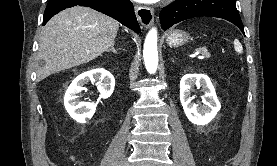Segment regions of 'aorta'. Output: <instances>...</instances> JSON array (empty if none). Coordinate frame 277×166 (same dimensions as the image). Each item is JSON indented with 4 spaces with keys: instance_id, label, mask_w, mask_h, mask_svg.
I'll list each match as a JSON object with an SVG mask.
<instances>
[{
    "instance_id": "obj_1",
    "label": "aorta",
    "mask_w": 277,
    "mask_h": 166,
    "mask_svg": "<svg viewBox=\"0 0 277 166\" xmlns=\"http://www.w3.org/2000/svg\"><path fill=\"white\" fill-rule=\"evenodd\" d=\"M143 57L145 67L150 74H154L158 67L157 29L152 28L145 39Z\"/></svg>"
}]
</instances>
